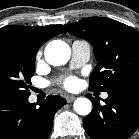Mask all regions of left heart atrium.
<instances>
[{
    "label": "left heart atrium",
    "mask_w": 139,
    "mask_h": 139,
    "mask_svg": "<svg viewBox=\"0 0 139 139\" xmlns=\"http://www.w3.org/2000/svg\"><path fill=\"white\" fill-rule=\"evenodd\" d=\"M63 84L67 89H74L78 85V80L75 77H69L64 81Z\"/></svg>",
    "instance_id": "1"
}]
</instances>
